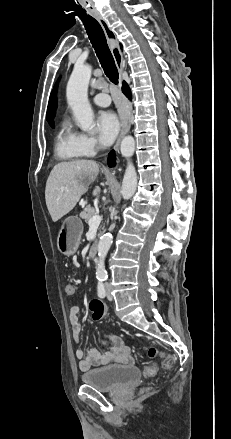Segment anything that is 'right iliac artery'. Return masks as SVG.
<instances>
[{
  "mask_svg": "<svg viewBox=\"0 0 231 439\" xmlns=\"http://www.w3.org/2000/svg\"><path fill=\"white\" fill-rule=\"evenodd\" d=\"M105 279H101L99 278V282H98V296L100 298H104L105 297V288H104V281Z\"/></svg>",
  "mask_w": 231,
  "mask_h": 439,
  "instance_id": "obj_1",
  "label": "right iliac artery"
}]
</instances>
